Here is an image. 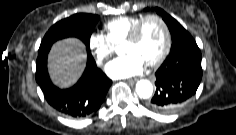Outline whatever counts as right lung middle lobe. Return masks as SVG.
<instances>
[{"instance_id":"dd1d6c3e","label":"right lung middle lobe","mask_w":236,"mask_h":135,"mask_svg":"<svg viewBox=\"0 0 236 135\" xmlns=\"http://www.w3.org/2000/svg\"><path fill=\"white\" fill-rule=\"evenodd\" d=\"M98 20V15L78 13L57 22L45 34L39 53L49 51L54 42L66 37L79 38L90 52V37Z\"/></svg>"}]
</instances>
